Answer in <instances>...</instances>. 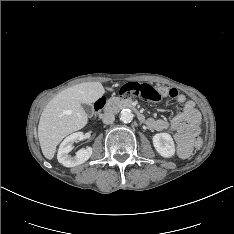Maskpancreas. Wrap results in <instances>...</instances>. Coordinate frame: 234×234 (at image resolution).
<instances>
[{"label":"pancreas","instance_id":"1","mask_svg":"<svg viewBox=\"0 0 234 234\" xmlns=\"http://www.w3.org/2000/svg\"><path fill=\"white\" fill-rule=\"evenodd\" d=\"M115 103H116L115 99L109 100L105 109L106 110L112 109V107H114Z\"/></svg>","mask_w":234,"mask_h":234}]
</instances>
